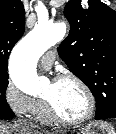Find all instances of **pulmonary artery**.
<instances>
[{
    "label": "pulmonary artery",
    "mask_w": 116,
    "mask_h": 134,
    "mask_svg": "<svg viewBox=\"0 0 116 134\" xmlns=\"http://www.w3.org/2000/svg\"><path fill=\"white\" fill-rule=\"evenodd\" d=\"M55 59V53L53 51L47 52L42 56L41 65L43 68L48 69L52 66Z\"/></svg>",
    "instance_id": "pulmonary-artery-1"
}]
</instances>
